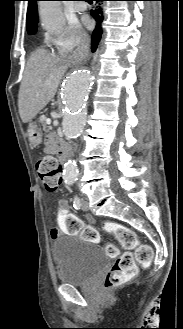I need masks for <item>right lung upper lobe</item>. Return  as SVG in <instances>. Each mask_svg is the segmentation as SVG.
Wrapping results in <instances>:
<instances>
[{
    "label": "right lung upper lobe",
    "mask_w": 183,
    "mask_h": 329,
    "mask_svg": "<svg viewBox=\"0 0 183 329\" xmlns=\"http://www.w3.org/2000/svg\"><path fill=\"white\" fill-rule=\"evenodd\" d=\"M38 0H28V10H27V31L28 33L37 29L38 14H37V4Z\"/></svg>",
    "instance_id": "1"
}]
</instances>
